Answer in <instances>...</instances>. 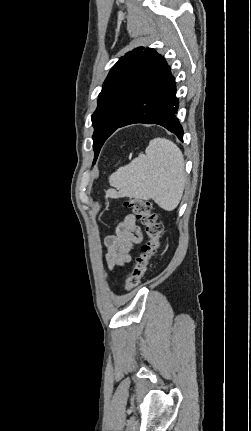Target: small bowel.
Wrapping results in <instances>:
<instances>
[{
	"mask_svg": "<svg viewBox=\"0 0 251 431\" xmlns=\"http://www.w3.org/2000/svg\"><path fill=\"white\" fill-rule=\"evenodd\" d=\"M143 240V231L133 214L126 215L119 223L116 233L104 239L106 265L109 270L125 266L132 260V249Z\"/></svg>",
	"mask_w": 251,
	"mask_h": 431,
	"instance_id": "obj_1",
	"label": "small bowel"
}]
</instances>
